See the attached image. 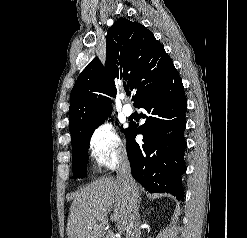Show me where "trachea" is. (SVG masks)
Masks as SVG:
<instances>
[{"mask_svg":"<svg viewBox=\"0 0 247 238\" xmlns=\"http://www.w3.org/2000/svg\"><path fill=\"white\" fill-rule=\"evenodd\" d=\"M127 96H130L131 92L130 91H126Z\"/></svg>","mask_w":247,"mask_h":238,"instance_id":"1","label":"trachea"}]
</instances>
